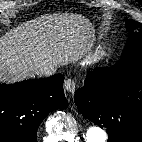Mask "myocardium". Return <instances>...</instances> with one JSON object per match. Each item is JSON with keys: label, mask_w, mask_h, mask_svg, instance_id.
I'll return each mask as SVG.
<instances>
[{"label": "myocardium", "mask_w": 142, "mask_h": 142, "mask_svg": "<svg viewBox=\"0 0 142 142\" xmlns=\"http://www.w3.org/2000/svg\"><path fill=\"white\" fill-rule=\"evenodd\" d=\"M106 56V50L103 47H97L96 49L89 52L84 60V64L93 65L102 61Z\"/></svg>", "instance_id": "1"}]
</instances>
